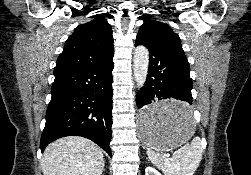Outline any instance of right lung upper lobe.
<instances>
[{
	"label": "right lung upper lobe",
	"instance_id": "obj_1",
	"mask_svg": "<svg viewBox=\"0 0 251 175\" xmlns=\"http://www.w3.org/2000/svg\"><path fill=\"white\" fill-rule=\"evenodd\" d=\"M106 15H96L89 22L76 27L56 61L54 75L104 65L113 58L112 29Z\"/></svg>",
	"mask_w": 251,
	"mask_h": 175
}]
</instances>
